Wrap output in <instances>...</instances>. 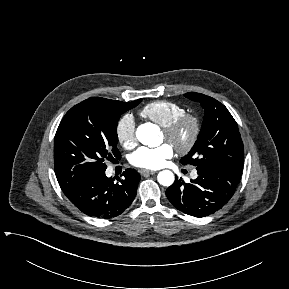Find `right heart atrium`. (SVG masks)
<instances>
[{"mask_svg":"<svg viewBox=\"0 0 289 289\" xmlns=\"http://www.w3.org/2000/svg\"><path fill=\"white\" fill-rule=\"evenodd\" d=\"M116 137L125 148H132L136 144V126L131 114H125L118 120Z\"/></svg>","mask_w":289,"mask_h":289,"instance_id":"d8ad5b80","label":"right heart atrium"}]
</instances>
